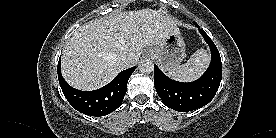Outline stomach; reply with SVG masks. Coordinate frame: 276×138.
Segmentation results:
<instances>
[{"instance_id":"1","label":"stomach","mask_w":276,"mask_h":138,"mask_svg":"<svg viewBox=\"0 0 276 138\" xmlns=\"http://www.w3.org/2000/svg\"><path fill=\"white\" fill-rule=\"evenodd\" d=\"M148 54L165 71L179 66L185 56V43L180 32L170 33L160 45L150 48Z\"/></svg>"}]
</instances>
